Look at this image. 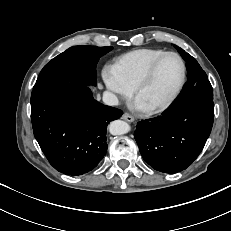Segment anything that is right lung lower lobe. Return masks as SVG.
Listing matches in <instances>:
<instances>
[{"instance_id": "right-lung-lower-lobe-1", "label": "right lung lower lobe", "mask_w": 231, "mask_h": 231, "mask_svg": "<svg viewBox=\"0 0 231 231\" xmlns=\"http://www.w3.org/2000/svg\"><path fill=\"white\" fill-rule=\"evenodd\" d=\"M33 133L50 164L67 175L94 169L107 152L106 131L122 111L96 101L84 84L33 89Z\"/></svg>"}]
</instances>
